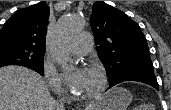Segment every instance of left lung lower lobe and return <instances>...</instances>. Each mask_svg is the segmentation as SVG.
<instances>
[{
  "mask_svg": "<svg viewBox=\"0 0 171 110\" xmlns=\"http://www.w3.org/2000/svg\"><path fill=\"white\" fill-rule=\"evenodd\" d=\"M124 81H138V82L146 83V84L156 88L157 90L159 88V85H158L155 77H146V76H134V77L124 78V79H121L113 84H110L109 88L113 87L114 85H116L118 83L124 82Z\"/></svg>",
  "mask_w": 171,
  "mask_h": 110,
  "instance_id": "1",
  "label": "left lung lower lobe"
}]
</instances>
